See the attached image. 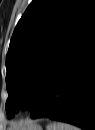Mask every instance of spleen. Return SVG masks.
<instances>
[{"instance_id": "obj_1", "label": "spleen", "mask_w": 95, "mask_h": 130, "mask_svg": "<svg viewBox=\"0 0 95 130\" xmlns=\"http://www.w3.org/2000/svg\"><path fill=\"white\" fill-rule=\"evenodd\" d=\"M47 130H79L76 126L63 122H52L47 125Z\"/></svg>"}]
</instances>
